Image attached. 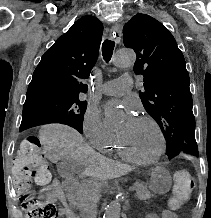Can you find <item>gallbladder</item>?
<instances>
[{
	"instance_id": "bac80fb5",
	"label": "gallbladder",
	"mask_w": 211,
	"mask_h": 218,
	"mask_svg": "<svg viewBox=\"0 0 211 218\" xmlns=\"http://www.w3.org/2000/svg\"><path fill=\"white\" fill-rule=\"evenodd\" d=\"M57 170L61 178H72V176L81 175L84 167L77 166V162L71 158H62L57 164Z\"/></svg>"
}]
</instances>
